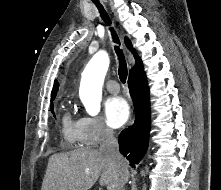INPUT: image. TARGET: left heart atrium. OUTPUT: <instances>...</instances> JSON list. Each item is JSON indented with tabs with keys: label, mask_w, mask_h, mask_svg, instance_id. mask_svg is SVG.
Returning <instances> with one entry per match:
<instances>
[{
	"label": "left heart atrium",
	"mask_w": 221,
	"mask_h": 190,
	"mask_svg": "<svg viewBox=\"0 0 221 190\" xmlns=\"http://www.w3.org/2000/svg\"><path fill=\"white\" fill-rule=\"evenodd\" d=\"M130 116V109L122 97H111L105 104V118L109 126L118 128L124 125Z\"/></svg>",
	"instance_id": "left-heart-atrium-1"
}]
</instances>
